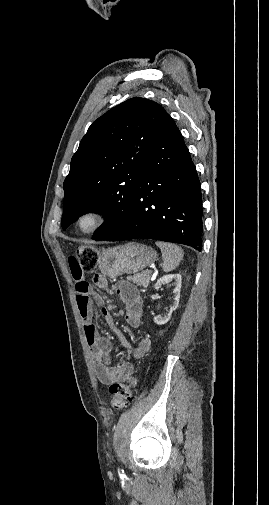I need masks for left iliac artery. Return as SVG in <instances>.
<instances>
[{
  "label": "left iliac artery",
  "instance_id": "1",
  "mask_svg": "<svg viewBox=\"0 0 269 505\" xmlns=\"http://www.w3.org/2000/svg\"><path fill=\"white\" fill-rule=\"evenodd\" d=\"M118 472H119L120 474H122V473H123V470H119Z\"/></svg>",
  "mask_w": 269,
  "mask_h": 505
}]
</instances>
